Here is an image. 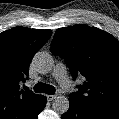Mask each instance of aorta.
<instances>
[{
	"label": "aorta",
	"mask_w": 119,
	"mask_h": 119,
	"mask_svg": "<svg viewBox=\"0 0 119 119\" xmlns=\"http://www.w3.org/2000/svg\"><path fill=\"white\" fill-rule=\"evenodd\" d=\"M33 64L39 73L46 74L52 70L54 60L48 52L39 51L33 58ZM52 109L58 114L66 113L69 109V100L65 96H57L52 102Z\"/></svg>",
	"instance_id": "762f6f07"
}]
</instances>
